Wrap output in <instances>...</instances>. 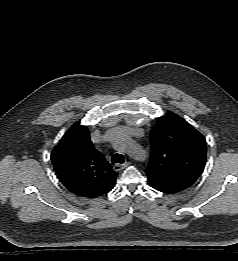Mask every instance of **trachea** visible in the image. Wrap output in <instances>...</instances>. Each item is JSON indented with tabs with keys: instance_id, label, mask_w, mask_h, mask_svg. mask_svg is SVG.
Returning a JSON list of instances; mask_svg holds the SVG:
<instances>
[{
	"instance_id": "3493384b",
	"label": "trachea",
	"mask_w": 238,
	"mask_h": 261,
	"mask_svg": "<svg viewBox=\"0 0 238 261\" xmlns=\"http://www.w3.org/2000/svg\"><path fill=\"white\" fill-rule=\"evenodd\" d=\"M112 163H124L125 157L122 154H114L111 158Z\"/></svg>"
}]
</instances>
